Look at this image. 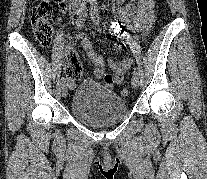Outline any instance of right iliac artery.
<instances>
[{"label":"right iliac artery","instance_id":"1","mask_svg":"<svg viewBox=\"0 0 207 179\" xmlns=\"http://www.w3.org/2000/svg\"><path fill=\"white\" fill-rule=\"evenodd\" d=\"M86 18H87V12L85 11L77 19V21H76V29H80L84 25V23L86 21ZM61 82L64 84L66 82V80L64 78H62Z\"/></svg>","mask_w":207,"mask_h":179}]
</instances>
